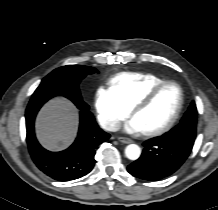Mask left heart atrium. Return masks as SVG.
Returning <instances> with one entry per match:
<instances>
[{
    "mask_svg": "<svg viewBox=\"0 0 218 210\" xmlns=\"http://www.w3.org/2000/svg\"><path fill=\"white\" fill-rule=\"evenodd\" d=\"M126 130L130 133H141V128L137 124L136 120L132 118L126 125Z\"/></svg>",
    "mask_w": 218,
    "mask_h": 210,
    "instance_id": "39dd6f15",
    "label": "left heart atrium"
}]
</instances>
